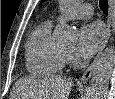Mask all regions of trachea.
<instances>
[{
  "label": "trachea",
  "mask_w": 115,
  "mask_h": 99,
  "mask_svg": "<svg viewBox=\"0 0 115 99\" xmlns=\"http://www.w3.org/2000/svg\"><path fill=\"white\" fill-rule=\"evenodd\" d=\"M99 7L107 15V13H108V1L107 0H100Z\"/></svg>",
  "instance_id": "1"
}]
</instances>
